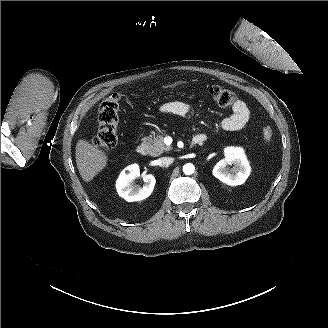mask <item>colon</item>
<instances>
[{
    "label": "colon",
    "mask_w": 328,
    "mask_h": 328,
    "mask_svg": "<svg viewBox=\"0 0 328 328\" xmlns=\"http://www.w3.org/2000/svg\"><path fill=\"white\" fill-rule=\"evenodd\" d=\"M208 93L211 98L220 106H229L234 103L235 94L219 85L208 87ZM119 94H112L104 99L98 110V132L93 140L95 147L109 151L114 148L118 142V123H119ZM263 139L265 143H270L273 137V131L269 126L263 128Z\"/></svg>",
    "instance_id": "1"
}]
</instances>
